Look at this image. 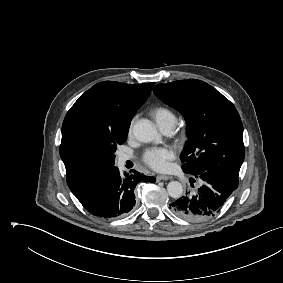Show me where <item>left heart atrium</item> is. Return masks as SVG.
Instances as JSON below:
<instances>
[{
	"mask_svg": "<svg viewBox=\"0 0 283 283\" xmlns=\"http://www.w3.org/2000/svg\"><path fill=\"white\" fill-rule=\"evenodd\" d=\"M174 156V150L169 147L151 148L145 152L143 160L152 169L162 171L167 169Z\"/></svg>",
	"mask_w": 283,
	"mask_h": 283,
	"instance_id": "1",
	"label": "left heart atrium"
}]
</instances>
